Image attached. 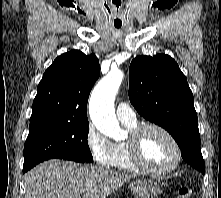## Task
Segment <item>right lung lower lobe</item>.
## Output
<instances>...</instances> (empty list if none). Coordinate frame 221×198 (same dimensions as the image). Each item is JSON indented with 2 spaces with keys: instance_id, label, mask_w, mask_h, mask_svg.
Listing matches in <instances>:
<instances>
[{
  "instance_id": "right-lung-lower-lobe-1",
  "label": "right lung lower lobe",
  "mask_w": 221,
  "mask_h": 198,
  "mask_svg": "<svg viewBox=\"0 0 221 198\" xmlns=\"http://www.w3.org/2000/svg\"><path fill=\"white\" fill-rule=\"evenodd\" d=\"M30 169H31V168H30ZM30 169H23V173L27 172V171L30 170Z\"/></svg>"
}]
</instances>
